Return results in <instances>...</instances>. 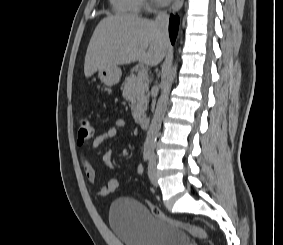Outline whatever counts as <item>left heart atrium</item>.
I'll return each instance as SVG.
<instances>
[{"label": "left heart atrium", "mask_w": 283, "mask_h": 245, "mask_svg": "<svg viewBox=\"0 0 283 245\" xmlns=\"http://www.w3.org/2000/svg\"><path fill=\"white\" fill-rule=\"evenodd\" d=\"M157 2H159V3H166V2H168L169 0H156Z\"/></svg>", "instance_id": "left-heart-atrium-1"}]
</instances>
